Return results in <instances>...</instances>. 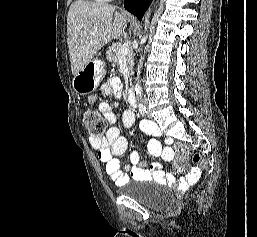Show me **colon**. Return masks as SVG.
<instances>
[{"instance_id": "5ec220e1", "label": "colon", "mask_w": 257, "mask_h": 237, "mask_svg": "<svg viewBox=\"0 0 257 237\" xmlns=\"http://www.w3.org/2000/svg\"><path fill=\"white\" fill-rule=\"evenodd\" d=\"M84 123L94 137H101L106 130V121L93 110H86L83 116ZM175 153L177 158L174 161V168L177 172L184 171L187 167V162L185 157L193 153L192 148L187 144H177L175 145ZM194 162H201L200 155L193 154Z\"/></svg>"}]
</instances>
